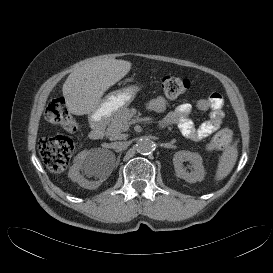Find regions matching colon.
<instances>
[{
	"mask_svg": "<svg viewBox=\"0 0 273 273\" xmlns=\"http://www.w3.org/2000/svg\"><path fill=\"white\" fill-rule=\"evenodd\" d=\"M157 87L161 93L168 98H176L190 87V82L186 78L177 76H165L157 81ZM46 118L54 123L61 125L69 132H76L78 124L68 113L66 102L63 97L52 99L46 109ZM232 140V133L228 129L219 131L207 144V150L221 151L226 148ZM39 153L45 165L52 172H62L74 151V143L65 136L46 137L40 140Z\"/></svg>",
	"mask_w": 273,
	"mask_h": 273,
	"instance_id": "1",
	"label": "colon"
}]
</instances>
